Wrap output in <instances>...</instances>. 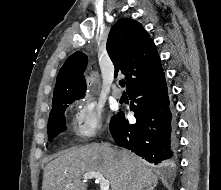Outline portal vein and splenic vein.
<instances>
[{
    "label": "portal vein and splenic vein",
    "mask_w": 221,
    "mask_h": 190,
    "mask_svg": "<svg viewBox=\"0 0 221 190\" xmlns=\"http://www.w3.org/2000/svg\"><path fill=\"white\" fill-rule=\"evenodd\" d=\"M95 178L98 183H100V190H109L110 181L105 179L104 176L99 172H88L83 176L84 181L88 179Z\"/></svg>",
    "instance_id": "18ae733b"
}]
</instances>
